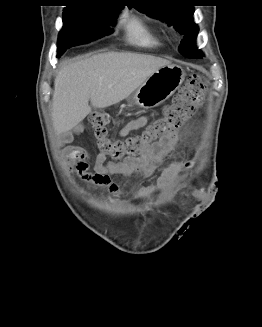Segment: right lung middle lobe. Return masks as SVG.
I'll list each match as a JSON object with an SVG mask.
<instances>
[{"label": "right lung middle lobe", "mask_w": 262, "mask_h": 327, "mask_svg": "<svg viewBox=\"0 0 262 327\" xmlns=\"http://www.w3.org/2000/svg\"><path fill=\"white\" fill-rule=\"evenodd\" d=\"M119 9L91 5H72L63 12L57 57L69 47L95 40L113 32Z\"/></svg>", "instance_id": "1"}]
</instances>
